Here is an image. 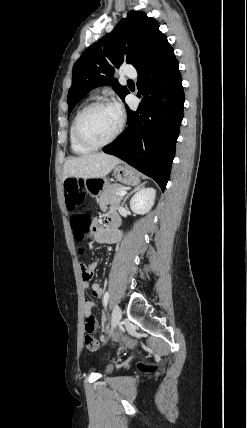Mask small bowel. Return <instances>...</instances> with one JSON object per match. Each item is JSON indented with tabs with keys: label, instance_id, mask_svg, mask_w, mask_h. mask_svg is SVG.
<instances>
[{
	"label": "small bowel",
	"instance_id": "1",
	"mask_svg": "<svg viewBox=\"0 0 247 428\" xmlns=\"http://www.w3.org/2000/svg\"><path fill=\"white\" fill-rule=\"evenodd\" d=\"M102 222H103V225L101 227H96L93 231V238L95 239V241L101 242V243H112V242L118 241L120 239L121 233L117 229V226H116L117 222L114 214L108 213L104 215ZM98 263H99V259H96L92 264L88 266L82 265L81 267L83 287L84 288L90 287L92 290V296L95 298H100L102 296V288L100 287V285L97 283H92V284L90 283ZM86 300H89V299H86ZM97 307H98V304H97ZM93 309L94 308H87L84 303V317L85 318L90 317L92 318V320H96L92 312Z\"/></svg>",
	"mask_w": 247,
	"mask_h": 428
}]
</instances>
